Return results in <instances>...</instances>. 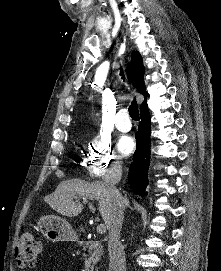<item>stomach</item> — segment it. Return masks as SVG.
<instances>
[{
  "mask_svg": "<svg viewBox=\"0 0 221 271\" xmlns=\"http://www.w3.org/2000/svg\"><path fill=\"white\" fill-rule=\"evenodd\" d=\"M37 223L41 233L51 241H75L78 237L69 221L58 215H42Z\"/></svg>",
  "mask_w": 221,
  "mask_h": 271,
  "instance_id": "stomach-1",
  "label": "stomach"
}]
</instances>
